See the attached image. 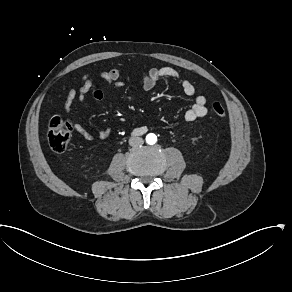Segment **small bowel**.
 Here are the masks:
<instances>
[{
	"mask_svg": "<svg viewBox=\"0 0 292 292\" xmlns=\"http://www.w3.org/2000/svg\"><path fill=\"white\" fill-rule=\"evenodd\" d=\"M120 68H111L103 70L98 74L86 73L81 77V86L78 90H68L63 103V110L65 114L71 115L73 105L78 99H83L87 95L95 100H102L104 93L101 90H92L93 82L96 77H99L109 83L114 88H121L123 82L121 78ZM169 78L177 81L185 95L192 97L195 96L196 88L194 84L184 78L176 69L172 67H150L143 74V88L146 91L152 90L160 79ZM207 114L206 98L203 95H196L193 100L192 106L185 113V120L192 122L198 118H202ZM71 126L73 130L83 139L92 141L96 138L101 140L108 139L111 135L109 127L99 131L97 136L91 133L83 124L78 121L72 120Z\"/></svg>",
	"mask_w": 292,
	"mask_h": 292,
	"instance_id": "small-bowel-1",
	"label": "small bowel"
}]
</instances>
